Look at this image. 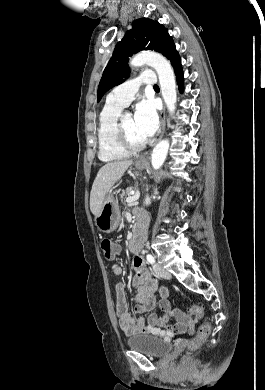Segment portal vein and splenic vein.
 Here are the masks:
<instances>
[{
	"instance_id": "obj_1",
	"label": "portal vein and splenic vein",
	"mask_w": 265,
	"mask_h": 390,
	"mask_svg": "<svg viewBox=\"0 0 265 390\" xmlns=\"http://www.w3.org/2000/svg\"><path fill=\"white\" fill-rule=\"evenodd\" d=\"M140 197V192L139 190H137L135 193L133 192V195L132 196H129L127 199H126V202L127 203H133L135 201H137Z\"/></svg>"
}]
</instances>
